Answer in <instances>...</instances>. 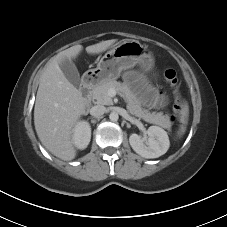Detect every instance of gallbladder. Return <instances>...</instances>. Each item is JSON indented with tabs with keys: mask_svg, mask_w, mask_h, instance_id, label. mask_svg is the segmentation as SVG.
Wrapping results in <instances>:
<instances>
[{
	"mask_svg": "<svg viewBox=\"0 0 227 227\" xmlns=\"http://www.w3.org/2000/svg\"><path fill=\"white\" fill-rule=\"evenodd\" d=\"M59 66L67 80L70 83H72L75 87H79L80 75L75 64L70 59L65 58L63 61L59 63Z\"/></svg>",
	"mask_w": 227,
	"mask_h": 227,
	"instance_id": "obj_1",
	"label": "gallbladder"
}]
</instances>
